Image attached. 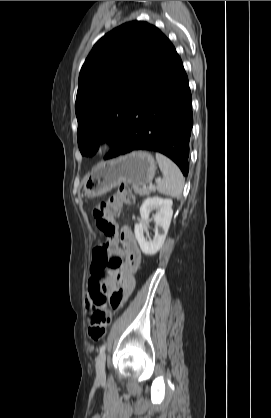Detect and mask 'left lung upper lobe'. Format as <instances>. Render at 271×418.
I'll return each mask as SVG.
<instances>
[{
	"label": "left lung upper lobe",
	"instance_id": "obj_1",
	"mask_svg": "<svg viewBox=\"0 0 271 418\" xmlns=\"http://www.w3.org/2000/svg\"><path fill=\"white\" fill-rule=\"evenodd\" d=\"M172 46L143 21L125 23L94 45L79 74L75 103L82 155L92 156L103 140L114 143Z\"/></svg>",
	"mask_w": 271,
	"mask_h": 418
}]
</instances>
